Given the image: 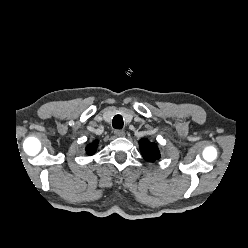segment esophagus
Masks as SVG:
<instances>
[{"label": "esophagus", "mask_w": 248, "mask_h": 248, "mask_svg": "<svg viewBox=\"0 0 248 248\" xmlns=\"http://www.w3.org/2000/svg\"><path fill=\"white\" fill-rule=\"evenodd\" d=\"M114 135L116 137H123V136H125V132L123 130H115Z\"/></svg>", "instance_id": "obj_1"}]
</instances>
